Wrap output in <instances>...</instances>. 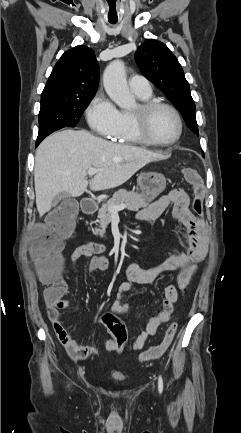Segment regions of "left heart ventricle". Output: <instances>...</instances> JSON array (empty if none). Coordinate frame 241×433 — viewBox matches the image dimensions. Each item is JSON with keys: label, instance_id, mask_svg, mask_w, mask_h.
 <instances>
[{"label": "left heart ventricle", "instance_id": "obj_1", "mask_svg": "<svg viewBox=\"0 0 241 433\" xmlns=\"http://www.w3.org/2000/svg\"><path fill=\"white\" fill-rule=\"evenodd\" d=\"M149 133L159 142L173 140L178 133V124L174 115L167 109H157L150 118Z\"/></svg>", "mask_w": 241, "mask_h": 433}]
</instances>
